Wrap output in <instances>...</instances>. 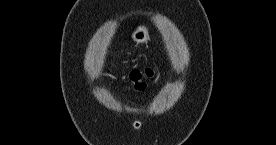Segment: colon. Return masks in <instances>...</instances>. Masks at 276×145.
Segmentation results:
<instances>
[{"mask_svg":"<svg viewBox=\"0 0 276 145\" xmlns=\"http://www.w3.org/2000/svg\"><path fill=\"white\" fill-rule=\"evenodd\" d=\"M153 70L151 68L133 69L129 73V79L134 84L136 89H143L146 86L145 81L153 77Z\"/></svg>","mask_w":276,"mask_h":145,"instance_id":"5ec220e1","label":"colon"}]
</instances>
